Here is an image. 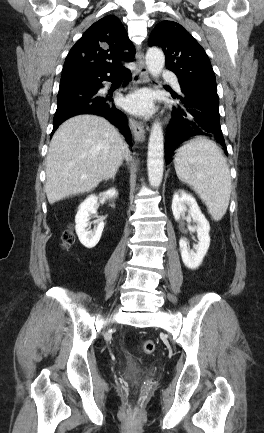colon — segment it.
Returning <instances> with one entry per match:
<instances>
[{
    "mask_svg": "<svg viewBox=\"0 0 264 433\" xmlns=\"http://www.w3.org/2000/svg\"><path fill=\"white\" fill-rule=\"evenodd\" d=\"M73 242H74V234H73V232L70 229L64 231L63 235H62L63 246L64 247H69ZM155 348H156V344L151 339H145L142 342V351L145 354H152L155 351Z\"/></svg>",
    "mask_w": 264,
    "mask_h": 433,
    "instance_id": "5ec220e1",
    "label": "colon"
}]
</instances>
